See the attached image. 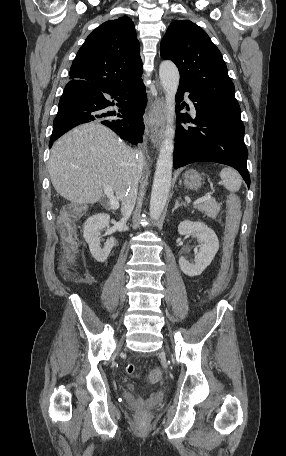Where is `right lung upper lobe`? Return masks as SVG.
Here are the masks:
<instances>
[{"label": "right lung upper lobe", "mask_w": 286, "mask_h": 456, "mask_svg": "<svg viewBox=\"0 0 286 456\" xmlns=\"http://www.w3.org/2000/svg\"><path fill=\"white\" fill-rule=\"evenodd\" d=\"M141 75L140 44L135 26L127 16L96 28L79 49L70 68V79L87 81L102 89L133 84Z\"/></svg>", "instance_id": "1"}]
</instances>
